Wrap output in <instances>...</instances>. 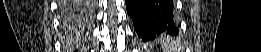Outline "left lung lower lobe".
Listing matches in <instances>:
<instances>
[{
	"label": "left lung lower lobe",
	"instance_id": "obj_1",
	"mask_svg": "<svg viewBox=\"0 0 261 52\" xmlns=\"http://www.w3.org/2000/svg\"><path fill=\"white\" fill-rule=\"evenodd\" d=\"M125 3L141 40L178 34L172 0H125Z\"/></svg>",
	"mask_w": 261,
	"mask_h": 52
}]
</instances>
